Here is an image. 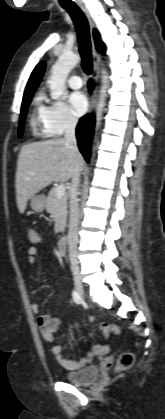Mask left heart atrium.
Masks as SVG:
<instances>
[{
    "label": "left heart atrium",
    "instance_id": "1",
    "mask_svg": "<svg viewBox=\"0 0 165 419\" xmlns=\"http://www.w3.org/2000/svg\"><path fill=\"white\" fill-rule=\"evenodd\" d=\"M71 108L77 116L83 115L88 107L86 96L82 92H73L69 96Z\"/></svg>",
    "mask_w": 165,
    "mask_h": 419
}]
</instances>
